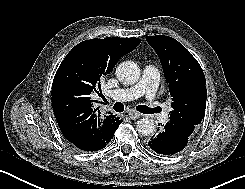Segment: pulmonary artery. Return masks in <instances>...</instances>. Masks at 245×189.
<instances>
[{
    "mask_svg": "<svg viewBox=\"0 0 245 189\" xmlns=\"http://www.w3.org/2000/svg\"><path fill=\"white\" fill-rule=\"evenodd\" d=\"M159 79V70L153 65H146L143 68L139 82L131 86L113 90L109 92L108 96L110 99L119 102L129 101L144 96L146 104L152 106L154 104Z\"/></svg>",
    "mask_w": 245,
    "mask_h": 189,
    "instance_id": "pulmonary-artery-1",
    "label": "pulmonary artery"
}]
</instances>
